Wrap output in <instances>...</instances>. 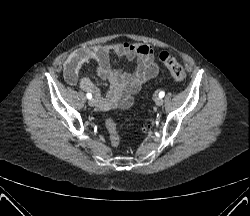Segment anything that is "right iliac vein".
I'll return each instance as SVG.
<instances>
[{
    "label": "right iliac vein",
    "instance_id": "63e3f726",
    "mask_svg": "<svg viewBox=\"0 0 250 216\" xmlns=\"http://www.w3.org/2000/svg\"><path fill=\"white\" fill-rule=\"evenodd\" d=\"M88 104H89L91 107H94V106H96V100H95L94 98H91V99H89Z\"/></svg>",
    "mask_w": 250,
    "mask_h": 216
}]
</instances>
